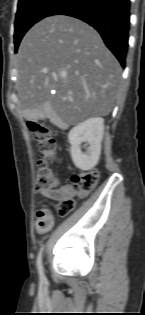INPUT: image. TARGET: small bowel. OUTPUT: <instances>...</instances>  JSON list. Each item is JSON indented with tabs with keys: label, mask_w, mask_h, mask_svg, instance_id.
Returning a JSON list of instances; mask_svg holds the SVG:
<instances>
[{
	"label": "small bowel",
	"mask_w": 145,
	"mask_h": 315,
	"mask_svg": "<svg viewBox=\"0 0 145 315\" xmlns=\"http://www.w3.org/2000/svg\"><path fill=\"white\" fill-rule=\"evenodd\" d=\"M76 191L69 185H64L57 189H49L44 191V196L59 201L64 196H71L74 195ZM54 225V218L53 216L44 211L40 210L37 215V221H36V232L38 234H44L51 230V228Z\"/></svg>",
	"instance_id": "obj_1"
}]
</instances>
